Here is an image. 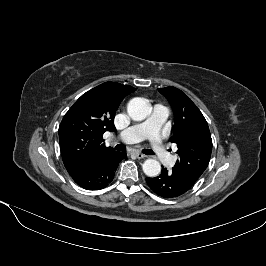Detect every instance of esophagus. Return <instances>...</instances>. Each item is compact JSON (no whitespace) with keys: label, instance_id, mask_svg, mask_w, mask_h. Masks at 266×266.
Returning a JSON list of instances; mask_svg holds the SVG:
<instances>
[{"label":"esophagus","instance_id":"obj_1","mask_svg":"<svg viewBox=\"0 0 266 266\" xmlns=\"http://www.w3.org/2000/svg\"><path fill=\"white\" fill-rule=\"evenodd\" d=\"M134 156H135L136 158H138V159H143V158H145V155H144V154H141V153H139V152H135V153H134Z\"/></svg>","mask_w":266,"mask_h":266}]
</instances>
